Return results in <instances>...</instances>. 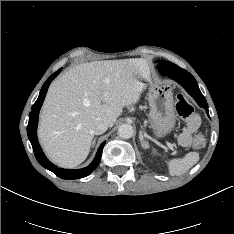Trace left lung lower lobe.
I'll list each match as a JSON object with an SVG mask.
<instances>
[{
	"label": "left lung lower lobe",
	"instance_id": "0a47b994",
	"mask_svg": "<svg viewBox=\"0 0 234 234\" xmlns=\"http://www.w3.org/2000/svg\"><path fill=\"white\" fill-rule=\"evenodd\" d=\"M161 74L165 76L167 75L173 80L177 81L179 84H181L186 89V91L195 99L198 105L206 110L209 116L207 102L204 96L202 95L195 78L189 72L180 68L176 71H165Z\"/></svg>",
	"mask_w": 234,
	"mask_h": 234
}]
</instances>
